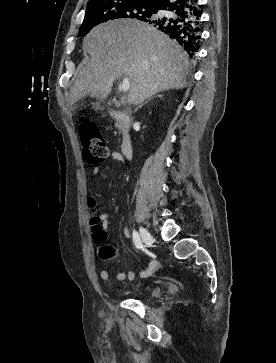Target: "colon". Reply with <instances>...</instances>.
<instances>
[{"instance_id":"colon-1","label":"colon","mask_w":276,"mask_h":363,"mask_svg":"<svg viewBox=\"0 0 276 363\" xmlns=\"http://www.w3.org/2000/svg\"><path fill=\"white\" fill-rule=\"evenodd\" d=\"M79 133L83 146V154L88 162L99 163L104 160L108 153L105 139L98 127L91 121L85 120L79 128ZM93 223V234L96 242L101 243L105 240V231L98 225L96 220ZM115 250L111 246H104L100 249V256L109 259L114 256Z\"/></svg>"}]
</instances>
